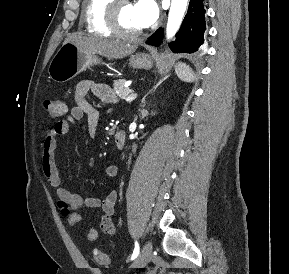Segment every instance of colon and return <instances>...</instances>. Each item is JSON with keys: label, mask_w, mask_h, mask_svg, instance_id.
Returning <instances> with one entry per match:
<instances>
[{"label": "colon", "mask_w": 289, "mask_h": 274, "mask_svg": "<svg viewBox=\"0 0 289 274\" xmlns=\"http://www.w3.org/2000/svg\"><path fill=\"white\" fill-rule=\"evenodd\" d=\"M44 108L48 114L55 119L62 117L67 111L65 102L56 99L45 100ZM93 259L100 267H106L109 264L108 256L102 250H95L93 252Z\"/></svg>", "instance_id": "obj_1"}]
</instances>
